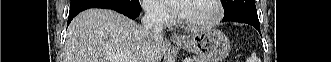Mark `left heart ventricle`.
Listing matches in <instances>:
<instances>
[{
    "label": "left heart ventricle",
    "instance_id": "obj_1",
    "mask_svg": "<svg viewBox=\"0 0 331 62\" xmlns=\"http://www.w3.org/2000/svg\"><path fill=\"white\" fill-rule=\"evenodd\" d=\"M215 14V9L209 0H193L187 4V9L182 17L188 22H205Z\"/></svg>",
    "mask_w": 331,
    "mask_h": 62
}]
</instances>
